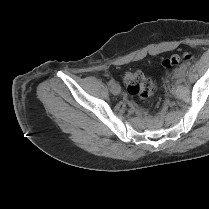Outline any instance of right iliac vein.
Here are the masks:
<instances>
[{
    "label": "right iliac vein",
    "instance_id": "63e3f726",
    "mask_svg": "<svg viewBox=\"0 0 209 209\" xmlns=\"http://www.w3.org/2000/svg\"><path fill=\"white\" fill-rule=\"evenodd\" d=\"M111 92L114 94V95H118L120 94L121 92V87L119 84H113L112 87H111Z\"/></svg>",
    "mask_w": 209,
    "mask_h": 209
}]
</instances>
